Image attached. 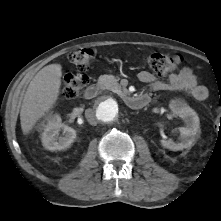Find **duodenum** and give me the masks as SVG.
I'll return each instance as SVG.
<instances>
[{
    "mask_svg": "<svg viewBox=\"0 0 221 221\" xmlns=\"http://www.w3.org/2000/svg\"><path fill=\"white\" fill-rule=\"evenodd\" d=\"M100 89L101 87L99 84H91L85 91V97L87 99L95 98L99 94ZM125 100L129 107L133 109H140L150 102V97L148 95L128 96Z\"/></svg>",
    "mask_w": 221,
    "mask_h": 221,
    "instance_id": "obj_1",
    "label": "duodenum"
}]
</instances>
